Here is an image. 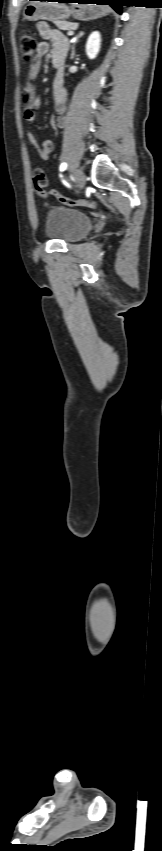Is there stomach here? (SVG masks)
I'll return each mask as SVG.
<instances>
[{"label": "stomach", "mask_w": 162, "mask_h": 851, "mask_svg": "<svg viewBox=\"0 0 162 851\" xmlns=\"http://www.w3.org/2000/svg\"><path fill=\"white\" fill-rule=\"evenodd\" d=\"M68 2L78 3L67 6L48 2H30L23 10V17L28 21H60L72 16L77 20L89 21L103 17L108 13V8L105 6L90 5L83 3L82 0Z\"/></svg>", "instance_id": "stomach-1"}]
</instances>
